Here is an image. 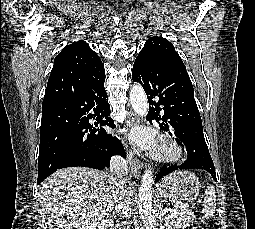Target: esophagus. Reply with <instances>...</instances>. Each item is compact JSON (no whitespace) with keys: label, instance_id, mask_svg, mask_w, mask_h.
<instances>
[{"label":"esophagus","instance_id":"esophagus-1","mask_svg":"<svg viewBox=\"0 0 255 229\" xmlns=\"http://www.w3.org/2000/svg\"><path fill=\"white\" fill-rule=\"evenodd\" d=\"M127 122H128L129 127H133L135 124L139 123V119L132 112L129 115ZM128 159H129V163H130L131 172H132L133 176L138 179L141 175L143 163L137 157H135V153L132 150L128 154Z\"/></svg>","mask_w":255,"mask_h":229}]
</instances>
